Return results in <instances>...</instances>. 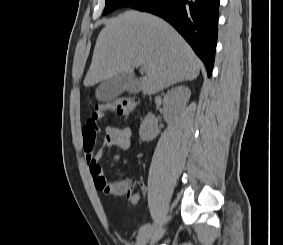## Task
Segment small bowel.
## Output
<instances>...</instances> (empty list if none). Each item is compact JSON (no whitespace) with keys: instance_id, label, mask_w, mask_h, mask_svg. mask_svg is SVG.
I'll use <instances>...</instances> for the list:
<instances>
[{"instance_id":"1","label":"small bowel","mask_w":283,"mask_h":245,"mask_svg":"<svg viewBox=\"0 0 283 245\" xmlns=\"http://www.w3.org/2000/svg\"><path fill=\"white\" fill-rule=\"evenodd\" d=\"M100 127L98 120L88 119L82 128V142L85 152V159L89 166L90 174L97 190L105 195L122 196L125 195L130 187V180L110 182L106 179L100 160L103 151L108 147H118L121 150H128L131 147L132 130L129 126L103 128L104 140L101 149L94 152L96 137Z\"/></svg>"}]
</instances>
